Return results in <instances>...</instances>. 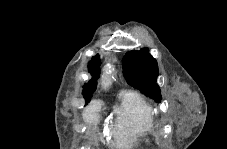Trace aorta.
I'll return each instance as SVG.
<instances>
[{
  "label": "aorta",
  "mask_w": 227,
  "mask_h": 149,
  "mask_svg": "<svg viewBox=\"0 0 227 149\" xmlns=\"http://www.w3.org/2000/svg\"><path fill=\"white\" fill-rule=\"evenodd\" d=\"M112 73V68L106 66L104 69V77H103V86L106 88L111 84L110 75Z\"/></svg>",
  "instance_id": "aorta-1"
}]
</instances>
